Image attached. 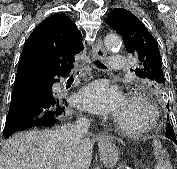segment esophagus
Instances as JSON below:
<instances>
[{"instance_id":"34e87169","label":"esophagus","mask_w":177,"mask_h":169,"mask_svg":"<svg viewBox=\"0 0 177 169\" xmlns=\"http://www.w3.org/2000/svg\"><path fill=\"white\" fill-rule=\"evenodd\" d=\"M105 50L103 48L102 41L100 39L97 40V42L92 46V59L94 62L98 60H103L105 58ZM101 139L107 140L110 138L109 135L102 134L100 136Z\"/></svg>"}]
</instances>
